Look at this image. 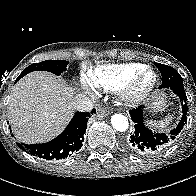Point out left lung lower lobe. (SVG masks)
<instances>
[{"mask_svg": "<svg viewBox=\"0 0 196 196\" xmlns=\"http://www.w3.org/2000/svg\"><path fill=\"white\" fill-rule=\"evenodd\" d=\"M162 74V83H165L166 88H171L173 92L179 97L182 106V117L176 128L169 131V133H153L145 126L143 117V107L130 110V115L135 123V130L126 142V147L138 155H155L164 150L170 145L179 135L186 123V114L188 111L187 96L180 82V76L174 68L167 66H160ZM161 88H163L161 86Z\"/></svg>", "mask_w": 196, "mask_h": 196, "instance_id": "0a47b994", "label": "left lung lower lobe"}]
</instances>
